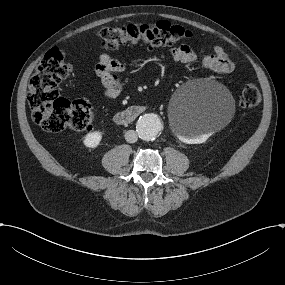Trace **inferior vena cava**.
Here are the masks:
<instances>
[{"instance_id": "inferior-vena-cava-1", "label": "inferior vena cava", "mask_w": 285, "mask_h": 285, "mask_svg": "<svg viewBox=\"0 0 285 285\" xmlns=\"http://www.w3.org/2000/svg\"><path fill=\"white\" fill-rule=\"evenodd\" d=\"M125 139L127 142L129 143H134L138 140V135H137V132L134 131V130H128L126 133H125Z\"/></svg>"}]
</instances>
